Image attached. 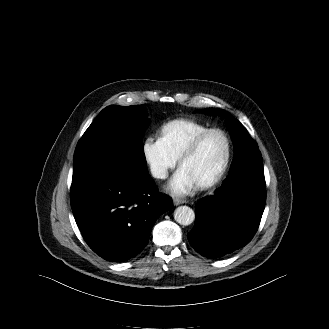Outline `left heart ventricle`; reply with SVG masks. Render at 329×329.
<instances>
[{
    "label": "left heart ventricle",
    "mask_w": 329,
    "mask_h": 329,
    "mask_svg": "<svg viewBox=\"0 0 329 329\" xmlns=\"http://www.w3.org/2000/svg\"><path fill=\"white\" fill-rule=\"evenodd\" d=\"M225 152L223 136L210 134L203 139L196 153L182 163L181 168L200 184L216 174L223 163Z\"/></svg>",
    "instance_id": "b2bd125f"
}]
</instances>
